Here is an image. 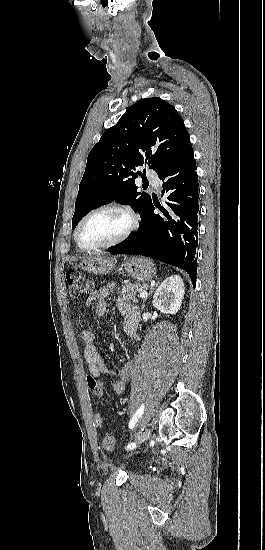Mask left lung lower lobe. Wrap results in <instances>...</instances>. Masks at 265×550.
<instances>
[{
  "label": "left lung lower lobe",
  "mask_w": 265,
  "mask_h": 550,
  "mask_svg": "<svg viewBox=\"0 0 265 550\" xmlns=\"http://www.w3.org/2000/svg\"><path fill=\"white\" fill-rule=\"evenodd\" d=\"M194 153L189 142L158 175L167 193V208L156 206L164 216L154 213L151 202L136 233L121 245L109 248L112 255L138 254L155 258L185 270L196 284L198 244V177Z\"/></svg>",
  "instance_id": "obj_1"
}]
</instances>
